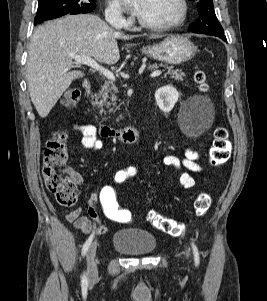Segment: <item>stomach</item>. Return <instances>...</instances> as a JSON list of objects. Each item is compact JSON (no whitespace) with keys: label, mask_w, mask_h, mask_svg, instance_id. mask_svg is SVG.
<instances>
[{"label":"stomach","mask_w":267,"mask_h":301,"mask_svg":"<svg viewBox=\"0 0 267 301\" xmlns=\"http://www.w3.org/2000/svg\"><path fill=\"white\" fill-rule=\"evenodd\" d=\"M142 53L164 63L176 65L191 60L197 47L187 38L170 36L161 43L142 47Z\"/></svg>","instance_id":"0dacf381"}]
</instances>
